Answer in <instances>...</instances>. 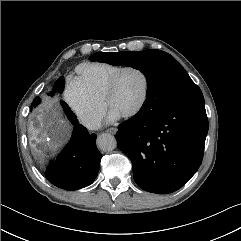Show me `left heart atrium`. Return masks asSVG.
<instances>
[{
  "instance_id": "left-heart-atrium-1",
  "label": "left heart atrium",
  "mask_w": 241,
  "mask_h": 241,
  "mask_svg": "<svg viewBox=\"0 0 241 241\" xmlns=\"http://www.w3.org/2000/svg\"><path fill=\"white\" fill-rule=\"evenodd\" d=\"M120 117H121V115H120L117 111H115V110H113V109H110V110L108 111V114H107V122H108V123L115 122V121H117Z\"/></svg>"
}]
</instances>
